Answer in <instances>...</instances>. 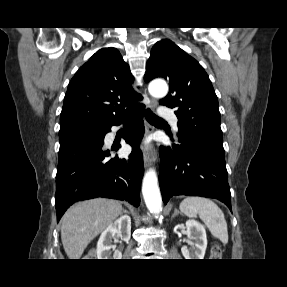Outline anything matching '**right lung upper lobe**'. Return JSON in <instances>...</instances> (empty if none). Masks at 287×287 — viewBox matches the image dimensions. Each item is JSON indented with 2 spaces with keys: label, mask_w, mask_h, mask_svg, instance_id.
I'll return each mask as SVG.
<instances>
[{
  "label": "right lung upper lobe",
  "mask_w": 287,
  "mask_h": 287,
  "mask_svg": "<svg viewBox=\"0 0 287 287\" xmlns=\"http://www.w3.org/2000/svg\"><path fill=\"white\" fill-rule=\"evenodd\" d=\"M134 77L116 48L97 51L71 79L60 115V126L90 123L103 126L134 108L142 96L132 87Z\"/></svg>",
  "instance_id": "right-lung-upper-lobe-1"
}]
</instances>
